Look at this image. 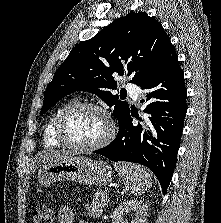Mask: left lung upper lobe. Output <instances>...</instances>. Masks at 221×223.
Wrapping results in <instances>:
<instances>
[{
  "label": "left lung upper lobe",
  "instance_id": "obj_1",
  "mask_svg": "<svg viewBox=\"0 0 221 223\" xmlns=\"http://www.w3.org/2000/svg\"><path fill=\"white\" fill-rule=\"evenodd\" d=\"M171 42L162 25L145 12H130L114 20L90 40L75 46L47 86L40 114L75 91L96 94L110 107L118 122L130 110L112 95L113 74L132 75L140 86L156 71Z\"/></svg>",
  "mask_w": 221,
  "mask_h": 223
}]
</instances>
